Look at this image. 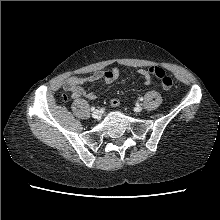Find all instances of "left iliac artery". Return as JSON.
Here are the masks:
<instances>
[{
    "instance_id": "44dca946",
    "label": "left iliac artery",
    "mask_w": 220,
    "mask_h": 220,
    "mask_svg": "<svg viewBox=\"0 0 220 220\" xmlns=\"http://www.w3.org/2000/svg\"><path fill=\"white\" fill-rule=\"evenodd\" d=\"M139 101H143V97H140V98H139Z\"/></svg>"
}]
</instances>
